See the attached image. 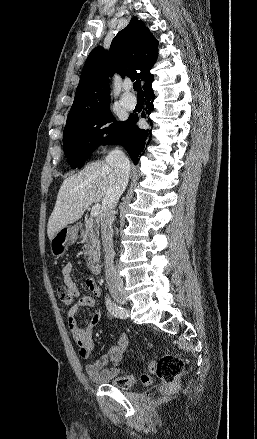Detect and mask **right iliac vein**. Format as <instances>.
<instances>
[{"instance_id":"right-iliac-vein-1","label":"right iliac vein","mask_w":257,"mask_h":439,"mask_svg":"<svg viewBox=\"0 0 257 439\" xmlns=\"http://www.w3.org/2000/svg\"><path fill=\"white\" fill-rule=\"evenodd\" d=\"M112 296L114 297V299L120 303V304H125L126 303V295L124 292H113Z\"/></svg>"}]
</instances>
